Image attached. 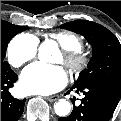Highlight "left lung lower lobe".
Wrapping results in <instances>:
<instances>
[{"instance_id": "1", "label": "left lung lower lobe", "mask_w": 121, "mask_h": 121, "mask_svg": "<svg viewBox=\"0 0 121 121\" xmlns=\"http://www.w3.org/2000/svg\"><path fill=\"white\" fill-rule=\"evenodd\" d=\"M73 89L84 94L81 104L74 106L72 113L66 118H59V121H109L121 98V95L99 84L73 85L70 91Z\"/></svg>"}]
</instances>
